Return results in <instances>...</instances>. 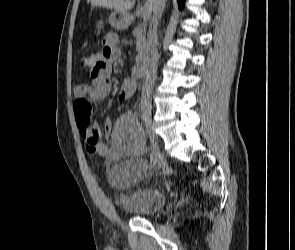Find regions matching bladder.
Wrapping results in <instances>:
<instances>
[{
    "mask_svg": "<svg viewBox=\"0 0 295 250\" xmlns=\"http://www.w3.org/2000/svg\"><path fill=\"white\" fill-rule=\"evenodd\" d=\"M119 206L137 217H153L165 207L164 192L154 187H143L126 191Z\"/></svg>",
    "mask_w": 295,
    "mask_h": 250,
    "instance_id": "1",
    "label": "bladder"
}]
</instances>
